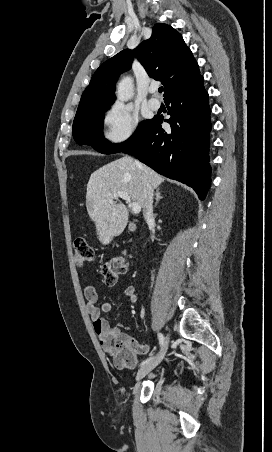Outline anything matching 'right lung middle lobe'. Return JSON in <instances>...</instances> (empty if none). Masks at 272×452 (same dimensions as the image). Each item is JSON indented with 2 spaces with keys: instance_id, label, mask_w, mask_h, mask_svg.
<instances>
[{
  "instance_id": "right-lung-middle-lobe-1",
  "label": "right lung middle lobe",
  "mask_w": 272,
  "mask_h": 452,
  "mask_svg": "<svg viewBox=\"0 0 272 452\" xmlns=\"http://www.w3.org/2000/svg\"><path fill=\"white\" fill-rule=\"evenodd\" d=\"M108 107H98L76 114L72 134L79 145H90L103 154L122 152L132 145L143 133L151 120L141 122L136 132L125 142L112 144L104 138L103 118Z\"/></svg>"
}]
</instances>
